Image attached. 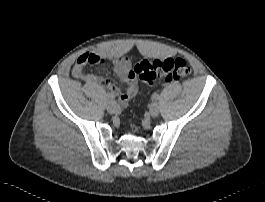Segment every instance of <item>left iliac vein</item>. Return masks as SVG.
I'll return each instance as SVG.
<instances>
[{"label": "left iliac vein", "mask_w": 265, "mask_h": 202, "mask_svg": "<svg viewBox=\"0 0 265 202\" xmlns=\"http://www.w3.org/2000/svg\"><path fill=\"white\" fill-rule=\"evenodd\" d=\"M149 112L151 116L156 117L159 114V105L158 103L154 102L150 105Z\"/></svg>", "instance_id": "1"}]
</instances>
